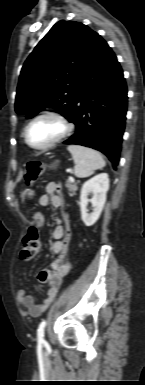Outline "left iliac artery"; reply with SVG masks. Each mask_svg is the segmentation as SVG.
I'll return each instance as SVG.
<instances>
[{
    "mask_svg": "<svg viewBox=\"0 0 145 385\" xmlns=\"http://www.w3.org/2000/svg\"><path fill=\"white\" fill-rule=\"evenodd\" d=\"M45 326H46V321L43 320L39 324V327H38V330H37V339H38V343L39 344H44L45 343V339H44Z\"/></svg>",
    "mask_w": 145,
    "mask_h": 385,
    "instance_id": "obj_1",
    "label": "left iliac artery"
}]
</instances>
